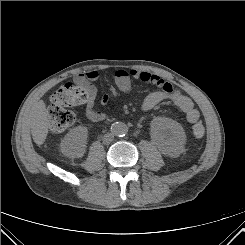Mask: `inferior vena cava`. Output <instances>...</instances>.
I'll return each mask as SVG.
<instances>
[{
  "label": "inferior vena cava",
  "mask_w": 245,
  "mask_h": 245,
  "mask_svg": "<svg viewBox=\"0 0 245 245\" xmlns=\"http://www.w3.org/2000/svg\"><path fill=\"white\" fill-rule=\"evenodd\" d=\"M114 140V135L112 133H107L103 137V143L109 144Z\"/></svg>",
  "instance_id": "inferior-vena-cava-1"
}]
</instances>
